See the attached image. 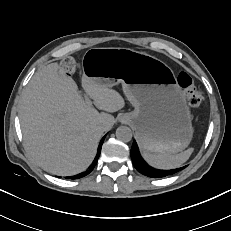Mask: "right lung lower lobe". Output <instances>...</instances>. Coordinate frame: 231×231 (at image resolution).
Listing matches in <instances>:
<instances>
[{
	"label": "right lung lower lobe",
	"instance_id": "obj_1",
	"mask_svg": "<svg viewBox=\"0 0 231 231\" xmlns=\"http://www.w3.org/2000/svg\"><path fill=\"white\" fill-rule=\"evenodd\" d=\"M104 138L105 136L102 138V140L100 141V145H99V149H98V152H97V155L93 161V163L90 165V167L85 171V172H82L80 174H77L73 177H67V179H79V178H82L84 176H86L87 174H89L93 169L94 167L96 166L97 164V161H98V158L100 156V153H101V147H102V144H103V141H104Z\"/></svg>",
	"mask_w": 231,
	"mask_h": 231
}]
</instances>
